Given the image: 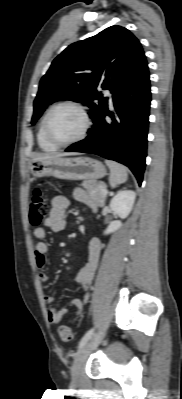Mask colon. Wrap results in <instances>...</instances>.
<instances>
[{
	"label": "colon",
	"mask_w": 182,
	"mask_h": 399,
	"mask_svg": "<svg viewBox=\"0 0 182 399\" xmlns=\"http://www.w3.org/2000/svg\"><path fill=\"white\" fill-rule=\"evenodd\" d=\"M29 221L34 227L44 222L48 215V204L44 192L40 188H36L30 198ZM58 335L64 342H71L74 338L71 328L67 325L58 327Z\"/></svg>",
	"instance_id": "colon-1"
}]
</instances>
